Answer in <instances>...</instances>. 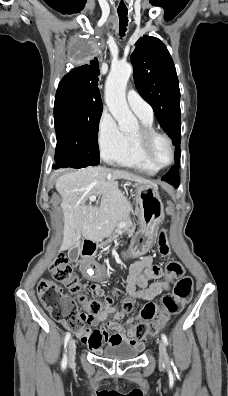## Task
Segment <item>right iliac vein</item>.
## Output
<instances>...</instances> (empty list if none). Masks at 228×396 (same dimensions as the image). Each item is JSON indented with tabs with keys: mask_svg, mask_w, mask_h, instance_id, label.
Listing matches in <instances>:
<instances>
[{
	"mask_svg": "<svg viewBox=\"0 0 228 396\" xmlns=\"http://www.w3.org/2000/svg\"><path fill=\"white\" fill-rule=\"evenodd\" d=\"M76 354V343L74 339H71L68 345V362L72 364L75 360Z\"/></svg>",
	"mask_w": 228,
	"mask_h": 396,
	"instance_id": "63e3f726",
	"label": "right iliac vein"
}]
</instances>
